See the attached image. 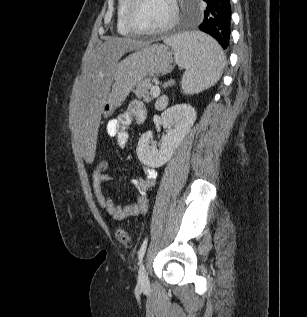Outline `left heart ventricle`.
Instances as JSON below:
<instances>
[{
    "label": "left heart ventricle",
    "mask_w": 307,
    "mask_h": 317,
    "mask_svg": "<svg viewBox=\"0 0 307 317\" xmlns=\"http://www.w3.org/2000/svg\"><path fill=\"white\" fill-rule=\"evenodd\" d=\"M171 14L170 0H139L132 12L134 23L142 29L162 26Z\"/></svg>",
    "instance_id": "obj_1"
}]
</instances>
